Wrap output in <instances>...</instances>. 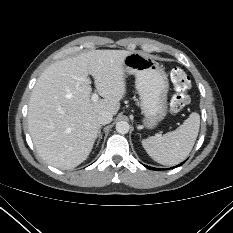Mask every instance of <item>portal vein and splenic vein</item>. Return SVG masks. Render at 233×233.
Listing matches in <instances>:
<instances>
[{"instance_id": "1", "label": "portal vein and splenic vein", "mask_w": 233, "mask_h": 233, "mask_svg": "<svg viewBox=\"0 0 233 233\" xmlns=\"http://www.w3.org/2000/svg\"><path fill=\"white\" fill-rule=\"evenodd\" d=\"M98 99H99L98 94L93 93L92 96H91V100H92L93 102H96V101H98Z\"/></svg>"}]
</instances>
